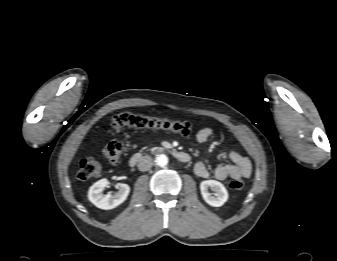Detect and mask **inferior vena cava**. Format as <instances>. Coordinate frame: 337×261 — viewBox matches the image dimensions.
<instances>
[{
	"instance_id": "602c4592",
	"label": "inferior vena cava",
	"mask_w": 337,
	"mask_h": 261,
	"mask_svg": "<svg viewBox=\"0 0 337 261\" xmlns=\"http://www.w3.org/2000/svg\"><path fill=\"white\" fill-rule=\"evenodd\" d=\"M153 165L152 158L150 156H142L138 160V169L140 171H148Z\"/></svg>"
}]
</instances>
